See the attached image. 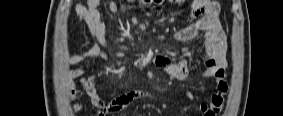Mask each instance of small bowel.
<instances>
[{
    "instance_id": "small-bowel-1",
    "label": "small bowel",
    "mask_w": 283,
    "mask_h": 116,
    "mask_svg": "<svg viewBox=\"0 0 283 116\" xmlns=\"http://www.w3.org/2000/svg\"><path fill=\"white\" fill-rule=\"evenodd\" d=\"M99 0H88L86 6L77 4L75 11L85 22L90 34L93 37V45L85 50L70 56L66 63L74 66L94 59H107L108 55L104 50L107 46L105 27L99 11ZM106 6L111 14L122 11L123 6L116 1H106ZM192 16L196 22L175 33V38L181 41L193 40L196 36L203 39V70L196 76L189 74V63L187 60L173 62L164 56L156 57L152 60L146 56L139 60L141 66H145L151 61L161 67L170 77L177 81H189L194 78L214 79L217 83V92L214 93L210 102L202 103L199 110L203 116H215L220 111L224 103V95L228 86L225 80L226 62V36L219 19V7L214 1L195 0L193 2ZM86 66H81L73 71V77L78 79V84L72 83V97L85 96L89 103L99 109L98 115L103 116L109 112H117L127 108L137 100H158L162 94L151 90L132 91L122 94L113 99L108 104L100 97L94 82L85 78ZM189 99H193L190 92H186ZM83 104H75L71 107L72 112H79L83 109Z\"/></svg>"
}]
</instances>
